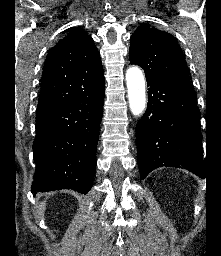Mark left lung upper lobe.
<instances>
[{
  "label": "left lung upper lobe",
  "mask_w": 221,
  "mask_h": 256,
  "mask_svg": "<svg viewBox=\"0 0 221 256\" xmlns=\"http://www.w3.org/2000/svg\"><path fill=\"white\" fill-rule=\"evenodd\" d=\"M129 59L144 69L146 80L190 83L185 58L176 39L148 24L140 25L132 34Z\"/></svg>",
  "instance_id": "left-lung-upper-lobe-1"
}]
</instances>
